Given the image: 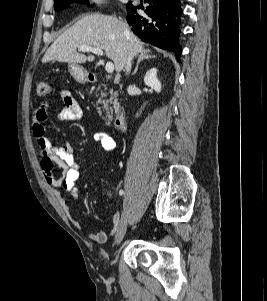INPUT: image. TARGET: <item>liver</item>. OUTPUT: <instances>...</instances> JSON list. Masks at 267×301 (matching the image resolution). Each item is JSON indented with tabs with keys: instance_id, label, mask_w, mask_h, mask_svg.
<instances>
[{
	"instance_id": "6515ba94",
	"label": "liver",
	"mask_w": 267,
	"mask_h": 301,
	"mask_svg": "<svg viewBox=\"0 0 267 301\" xmlns=\"http://www.w3.org/2000/svg\"><path fill=\"white\" fill-rule=\"evenodd\" d=\"M81 46L104 50L114 62L117 72L124 69L130 53L136 56L146 51L143 42L128 29L125 22L114 16L92 13L83 16L60 35L46 51L42 63L59 61L81 64L94 61L93 55L77 52L76 49Z\"/></svg>"
}]
</instances>
